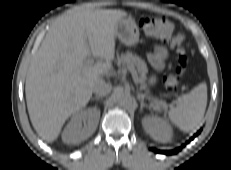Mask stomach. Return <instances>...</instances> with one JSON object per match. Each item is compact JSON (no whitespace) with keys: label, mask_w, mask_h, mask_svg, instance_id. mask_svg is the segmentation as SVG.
Listing matches in <instances>:
<instances>
[{"label":"stomach","mask_w":231,"mask_h":170,"mask_svg":"<svg viewBox=\"0 0 231 170\" xmlns=\"http://www.w3.org/2000/svg\"><path fill=\"white\" fill-rule=\"evenodd\" d=\"M115 36L128 47H135L139 41V29L132 17L121 18L116 25ZM153 80H150L152 83Z\"/></svg>","instance_id":"obj_1"}]
</instances>
